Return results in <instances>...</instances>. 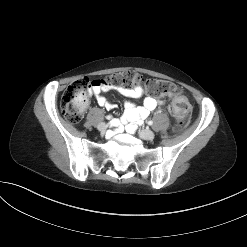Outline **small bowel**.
<instances>
[{"mask_svg":"<svg viewBox=\"0 0 247 247\" xmlns=\"http://www.w3.org/2000/svg\"><path fill=\"white\" fill-rule=\"evenodd\" d=\"M115 89L118 93L128 99H137L143 96L144 90L141 85L136 84L131 87L113 88L103 83H95L90 89V93L96 98L97 103L106 109H113L114 104L109 102L102 93ZM164 103L163 100L153 96H145L142 105H136L131 101L125 102V112L121 118V123L127 125V131L133 132L137 124L143 122L149 114L158 106Z\"/></svg>","mask_w":247,"mask_h":247,"instance_id":"1","label":"small bowel"}]
</instances>
